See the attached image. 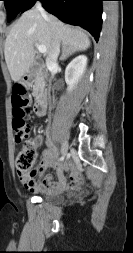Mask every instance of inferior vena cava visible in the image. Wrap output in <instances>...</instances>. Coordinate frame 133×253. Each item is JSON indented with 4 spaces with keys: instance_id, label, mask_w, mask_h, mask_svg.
<instances>
[{
    "instance_id": "1",
    "label": "inferior vena cava",
    "mask_w": 133,
    "mask_h": 253,
    "mask_svg": "<svg viewBox=\"0 0 133 253\" xmlns=\"http://www.w3.org/2000/svg\"><path fill=\"white\" fill-rule=\"evenodd\" d=\"M36 9L41 13L42 17L45 18L47 21H49L50 26L53 28V23L51 22L50 16L47 15L46 11L44 10V8L42 7V4L40 2L36 3ZM60 52V45L59 42L57 40V37H55V41L53 44V50L51 52V54L49 55V57L46 59L47 63L51 66H55L57 65V58Z\"/></svg>"
}]
</instances>
